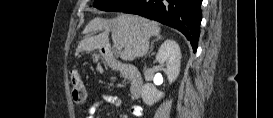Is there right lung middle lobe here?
Segmentation results:
<instances>
[{
    "label": "right lung middle lobe",
    "mask_w": 273,
    "mask_h": 118,
    "mask_svg": "<svg viewBox=\"0 0 273 118\" xmlns=\"http://www.w3.org/2000/svg\"><path fill=\"white\" fill-rule=\"evenodd\" d=\"M131 0H95L94 7L104 11H118Z\"/></svg>",
    "instance_id": "obj_1"
}]
</instances>
